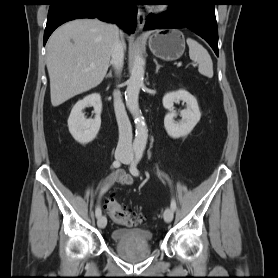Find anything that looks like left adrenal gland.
Here are the masks:
<instances>
[{"label":"left adrenal gland","mask_w":278,"mask_h":278,"mask_svg":"<svg viewBox=\"0 0 278 278\" xmlns=\"http://www.w3.org/2000/svg\"><path fill=\"white\" fill-rule=\"evenodd\" d=\"M153 61L155 62L156 64V73L159 71V69L162 67L161 65L158 64V62L156 61V59H153Z\"/></svg>","instance_id":"obj_1"}]
</instances>
